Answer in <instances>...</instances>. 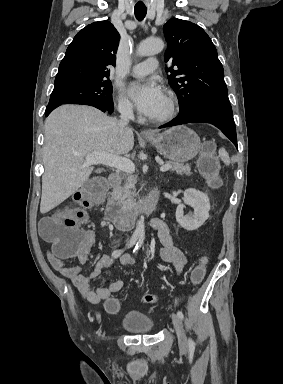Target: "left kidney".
<instances>
[{"mask_svg":"<svg viewBox=\"0 0 283 384\" xmlns=\"http://www.w3.org/2000/svg\"><path fill=\"white\" fill-rule=\"evenodd\" d=\"M182 200L184 204L177 206L175 214L178 224L188 232L198 230L209 218L210 202L208 196L199 190L190 188V190H185ZM185 204L193 208L194 214L184 216Z\"/></svg>","mask_w":283,"mask_h":384,"instance_id":"5707ae66","label":"left kidney"}]
</instances>
